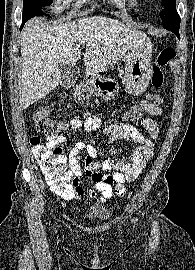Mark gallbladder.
Here are the masks:
<instances>
[{
  "mask_svg": "<svg viewBox=\"0 0 195 270\" xmlns=\"http://www.w3.org/2000/svg\"><path fill=\"white\" fill-rule=\"evenodd\" d=\"M59 67L61 72L60 85L63 87L69 83H73L79 76L80 71L75 64H61Z\"/></svg>",
  "mask_w": 195,
  "mask_h": 270,
  "instance_id": "obj_1",
  "label": "gallbladder"
}]
</instances>
